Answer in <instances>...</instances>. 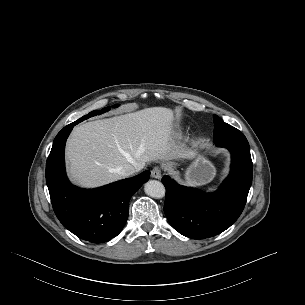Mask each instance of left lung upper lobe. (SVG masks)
Returning <instances> with one entry per match:
<instances>
[{
	"label": "left lung upper lobe",
	"mask_w": 305,
	"mask_h": 305,
	"mask_svg": "<svg viewBox=\"0 0 305 305\" xmlns=\"http://www.w3.org/2000/svg\"><path fill=\"white\" fill-rule=\"evenodd\" d=\"M215 128L213 141L217 146L232 144L249 147L246 137L233 126L225 123L217 115H213Z\"/></svg>",
	"instance_id": "obj_1"
}]
</instances>
